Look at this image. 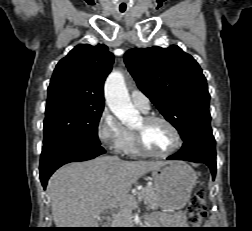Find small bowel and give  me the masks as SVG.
<instances>
[{
    "label": "small bowel",
    "instance_id": "obj_1",
    "mask_svg": "<svg viewBox=\"0 0 252 231\" xmlns=\"http://www.w3.org/2000/svg\"><path fill=\"white\" fill-rule=\"evenodd\" d=\"M168 219L173 220L175 224L180 227L179 231H187L186 228L188 227L185 217L181 212L174 213L173 215H169Z\"/></svg>",
    "mask_w": 252,
    "mask_h": 231
}]
</instances>
